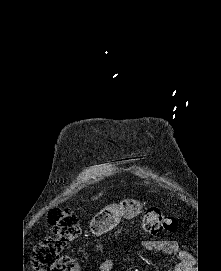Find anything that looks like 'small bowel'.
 Instances as JSON below:
<instances>
[{"mask_svg":"<svg viewBox=\"0 0 221 271\" xmlns=\"http://www.w3.org/2000/svg\"><path fill=\"white\" fill-rule=\"evenodd\" d=\"M142 247L147 251H160L168 255H178L180 263L176 265L174 271H192L193 259L189 252L180 251L175 240L171 239H145ZM114 260L103 258L98 265L99 271H113Z\"/></svg>","mask_w":221,"mask_h":271,"instance_id":"c3829d8e","label":"small bowel"}]
</instances>
